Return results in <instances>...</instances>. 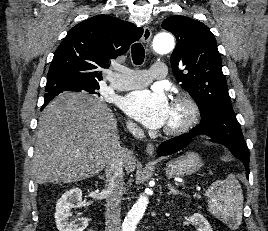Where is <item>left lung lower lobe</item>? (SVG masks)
<instances>
[{"label": "left lung lower lobe", "mask_w": 268, "mask_h": 231, "mask_svg": "<svg viewBox=\"0 0 268 231\" xmlns=\"http://www.w3.org/2000/svg\"><path fill=\"white\" fill-rule=\"evenodd\" d=\"M197 135L199 134L196 132L190 131L189 133H185L183 135H180L178 137H175L173 139H170L168 141L161 143L158 148V155L159 156L170 155L185 148L188 142ZM213 140L217 143H221L225 145L231 151V153L244 164L246 168V176L248 178L249 177V152L248 150L242 149L236 144H233L230 142H222L214 138Z\"/></svg>", "instance_id": "obj_1"}]
</instances>
